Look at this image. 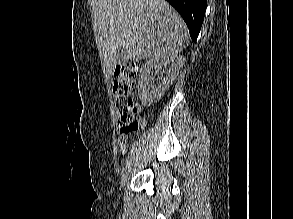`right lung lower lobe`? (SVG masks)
<instances>
[{
	"label": "right lung lower lobe",
	"instance_id": "right-lung-lower-lobe-1",
	"mask_svg": "<svg viewBox=\"0 0 293 219\" xmlns=\"http://www.w3.org/2000/svg\"><path fill=\"white\" fill-rule=\"evenodd\" d=\"M187 24L191 39L196 41L204 19L207 0H167Z\"/></svg>",
	"mask_w": 293,
	"mask_h": 219
}]
</instances>
